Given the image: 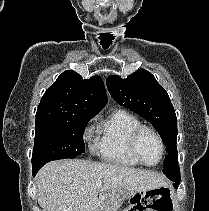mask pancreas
Listing matches in <instances>:
<instances>
[{
    "instance_id": "1",
    "label": "pancreas",
    "mask_w": 209,
    "mask_h": 211,
    "mask_svg": "<svg viewBox=\"0 0 209 211\" xmlns=\"http://www.w3.org/2000/svg\"><path fill=\"white\" fill-rule=\"evenodd\" d=\"M101 207L106 211L109 207L110 211H117V209L122 205V197L120 194L113 192H107L100 198Z\"/></svg>"
}]
</instances>
